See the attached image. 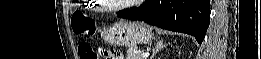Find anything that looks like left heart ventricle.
<instances>
[{
	"instance_id": "b2bd125f",
	"label": "left heart ventricle",
	"mask_w": 261,
	"mask_h": 59,
	"mask_svg": "<svg viewBox=\"0 0 261 59\" xmlns=\"http://www.w3.org/2000/svg\"><path fill=\"white\" fill-rule=\"evenodd\" d=\"M109 5H119L128 1H123V0H111V1H105Z\"/></svg>"
}]
</instances>
